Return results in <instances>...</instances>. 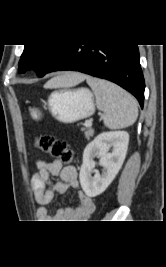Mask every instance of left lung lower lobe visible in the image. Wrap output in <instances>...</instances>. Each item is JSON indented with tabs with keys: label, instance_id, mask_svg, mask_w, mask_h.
<instances>
[{
	"label": "left lung lower lobe",
	"instance_id": "obj_1",
	"mask_svg": "<svg viewBox=\"0 0 166 267\" xmlns=\"http://www.w3.org/2000/svg\"><path fill=\"white\" fill-rule=\"evenodd\" d=\"M61 70L112 81L132 93L143 107L145 82L137 45H64L45 74Z\"/></svg>",
	"mask_w": 166,
	"mask_h": 267
}]
</instances>
